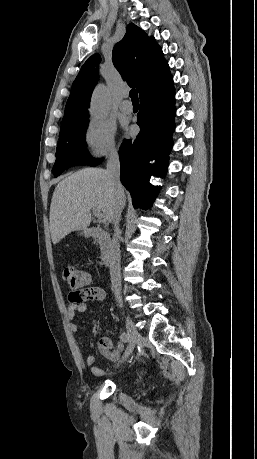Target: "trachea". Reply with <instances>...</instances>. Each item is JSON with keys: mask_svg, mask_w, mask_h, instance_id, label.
I'll return each instance as SVG.
<instances>
[{"mask_svg": "<svg viewBox=\"0 0 257 459\" xmlns=\"http://www.w3.org/2000/svg\"><path fill=\"white\" fill-rule=\"evenodd\" d=\"M130 97H131V100L133 102H138L139 99H138V93H137V90L136 89H131L130 91Z\"/></svg>", "mask_w": 257, "mask_h": 459, "instance_id": "obj_1", "label": "trachea"}]
</instances>
